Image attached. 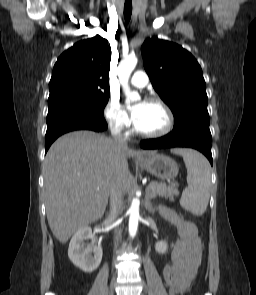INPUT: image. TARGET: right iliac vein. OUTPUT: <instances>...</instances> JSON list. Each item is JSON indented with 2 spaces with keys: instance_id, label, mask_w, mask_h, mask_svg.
I'll list each match as a JSON object with an SVG mask.
<instances>
[{
  "instance_id": "1",
  "label": "right iliac vein",
  "mask_w": 256,
  "mask_h": 295,
  "mask_svg": "<svg viewBox=\"0 0 256 295\" xmlns=\"http://www.w3.org/2000/svg\"><path fill=\"white\" fill-rule=\"evenodd\" d=\"M114 284H115V280L112 281V287H111L109 295H114V292H113V285Z\"/></svg>"
}]
</instances>
